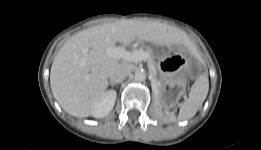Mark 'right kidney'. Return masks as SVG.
I'll return each instance as SVG.
<instances>
[{"instance_id": "right-kidney-1", "label": "right kidney", "mask_w": 261, "mask_h": 150, "mask_svg": "<svg viewBox=\"0 0 261 150\" xmlns=\"http://www.w3.org/2000/svg\"><path fill=\"white\" fill-rule=\"evenodd\" d=\"M116 96L117 93L115 90L106 91L95 103L92 115L95 118H103L108 115L115 105Z\"/></svg>"}]
</instances>
